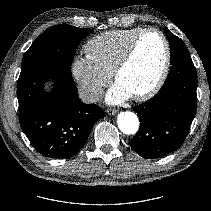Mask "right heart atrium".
<instances>
[{
    "label": "right heart atrium",
    "mask_w": 211,
    "mask_h": 211,
    "mask_svg": "<svg viewBox=\"0 0 211 211\" xmlns=\"http://www.w3.org/2000/svg\"><path fill=\"white\" fill-rule=\"evenodd\" d=\"M71 73L80 97L89 103L96 102L111 75L100 69L88 55H77L71 62Z\"/></svg>",
    "instance_id": "right-heart-atrium-1"
}]
</instances>
